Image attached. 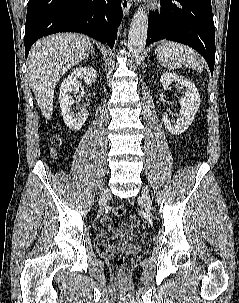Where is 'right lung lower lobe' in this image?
<instances>
[{
  "label": "right lung lower lobe",
  "instance_id": "obj_1",
  "mask_svg": "<svg viewBox=\"0 0 239 303\" xmlns=\"http://www.w3.org/2000/svg\"><path fill=\"white\" fill-rule=\"evenodd\" d=\"M122 17L120 0H29L26 58L36 40L57 32L86 34L112 48Z\"/></svg>",
  "mask_w": 239,
  "mask_h": 303
}]
</instances>
